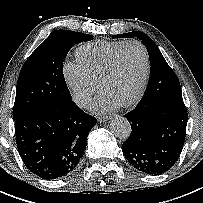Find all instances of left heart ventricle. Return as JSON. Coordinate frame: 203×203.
Here are the masks:
<instances>
[{
  "mask_svg": "<svg viewBox=\"0 0 203 203\" xmlns=\"http://www.w3.org/2000/svg\"><path fill=\"white\" fill-rule=\"evenodd\" d=\"M144 73V57L135 45L123 49L116 68L106 80L102 92L120 103L131 99L137 92Z\"/></svg>",
  "mask_w": 203,
  "mask_h": 203,
  "instance_id": "obj_1",
  "label": "left heart ventricle"
}]
</instances>
